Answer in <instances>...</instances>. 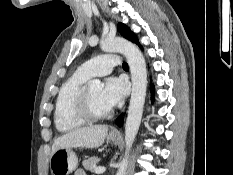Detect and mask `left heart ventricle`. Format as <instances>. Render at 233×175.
Here are the masks:
<instances>
[{
    "instance_id": "obj_1",
    "label": "left heart ventricle",
    "mask_w": 233,
    "mask_h": 175,
    "mask_svg": "<svg viewBox=\"0 0 233 175\" xmlns=\"http://www.w3.org/2000/svg\"><path fill=\"white\" fill-rule=\"evenodd\" d=\"M87 93L90 99L92 108L97 113H103L109 110V108L103 103L101 99V88H89Z\"/></svg>"
}]
</instances>
